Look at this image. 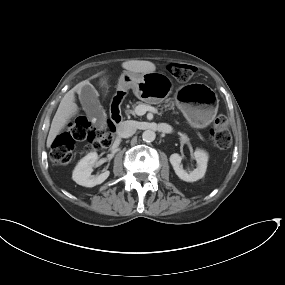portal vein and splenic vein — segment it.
<instances>
[{"instance_id": "obj_1", "label": "portal vein and splenic vein", "mask_w": 285, "mask_h": 285, "mask_svg": "<svg viewBox=\"0 0 285 285\" xmlns=\"http://www.w3.org/2000/svg\"><path fill=\"white\" fill-rule=\"evenodd\" d=\"M147 111L152 112V113H157V109L149 105L140 104L135 107V113L138 116L144 115Z\"/></svg>"}]
</instances>
